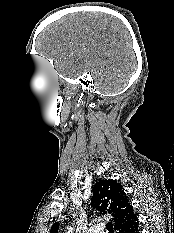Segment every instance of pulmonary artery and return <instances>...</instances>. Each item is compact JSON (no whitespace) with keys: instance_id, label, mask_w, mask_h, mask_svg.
Segmentation results:
<instances>
[{"instance_id":"e3ab8cb5","label":"pulmonary artery","mask_w":174,"mask_h":233,"mask_svg":"<svg viewBox=\"0 0 174 233\" xmlns=\"http://www.w3.org/2000/svg\"><path fill=\"white\" fill-rule=\"evenodd\" d=\"M88 233H105L102 226L94 225L89 228Z\"/></svg>"}]
</instances>
